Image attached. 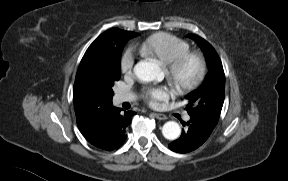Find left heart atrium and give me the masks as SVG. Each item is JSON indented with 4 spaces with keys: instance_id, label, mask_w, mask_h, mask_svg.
Instances as JSON below:
<instances>
[{
    "instance_id": "39dd6f15",
    "label": "left heart atrium",
    "mask_w": 288,
    "mask_h": 181,
    "mask_svg": "<svg viewBox=\"0 0 288 181\" xmlns=\"http://www.w3.org/2000/svg\"><path fill=\"white\" fill-rule=\"evenodd\" d=\"M172 94V90L166 85H148L142 90L143 98L153 107H157L160 102L167 101Z\"/></svg>"
}]
</instances>
